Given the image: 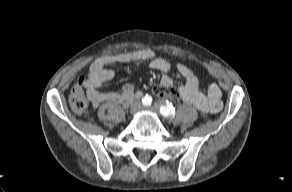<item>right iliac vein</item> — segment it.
I'll return each instance as SVG.
<instances>
[{
    "instance_id": "right-iliac-vein-1",
    "label": "right iliac vein",
    "mask_w": 292,
    "mask_h": 192,
    "mask_svg": "<svg viewBox=\"0 0 292 192\" xmlns=\"http://www.w3.org/2000/svg\"><path fill=\"white\" fill-rule=\"evenodd\" d=\"M141 108H142V105L139 102H135L130 107V113L134 115L138 113L141 110Z\"/></svg>"
}]
</instances>
